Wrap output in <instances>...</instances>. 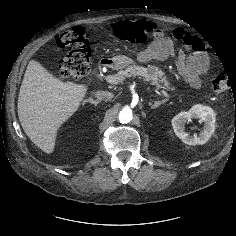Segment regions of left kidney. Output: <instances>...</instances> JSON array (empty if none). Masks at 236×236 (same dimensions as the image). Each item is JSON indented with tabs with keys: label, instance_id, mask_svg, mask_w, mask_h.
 Wrapping results in <instances>:
<instances>
[{
	"label": "left kidney",
	"instance_id": "1",
	"mask_svg": "<svg viewBox=\"0 0 236 236\" xmlns=\"http://www.w3.org/2000/svg\"><path fill=\"white\" fill-rule=\"evenodd\" d=\"M191 119H197L204 123L199 135H190L185 131V124ZM172 127L176 136L188 145H203L215 132V113L213 109L201 104L194 105L188 112H180L172 119Z\"/></svg>",
	"mask_w": 236,
	"mask_h": 236
}]
</instances>
